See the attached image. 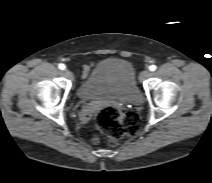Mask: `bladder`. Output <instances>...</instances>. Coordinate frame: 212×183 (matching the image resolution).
<instances>
[{
  "instance_id": "31cf9c89",
  "label": "bladder",
  "mask_w": 212,
  "mask_h": 183,
  "mask_svg": "<svg viewBox=\"0 0 212 183\" xmlns=\"http://www.w3.org/2000/svg\"><path fill=\"white\" fill-rule=\"evenodd\" d=\"M82 100L110 99L132 105L141 103L132 65L120 58L101 60L77 89Z\"/></svg>"
}]
</instances>
